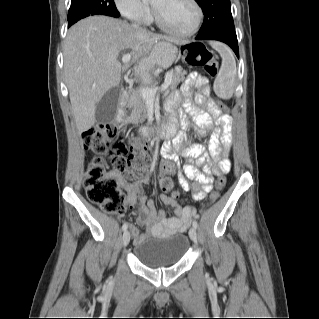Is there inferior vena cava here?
I'll list each match as a JSON object with an SVG mask.
<instances>
[{
  "label": "inferior vena cava",
  "instance_id": "602c4592",
  "mask_svg": "<svg viewBox=\"0 0 319 319\" xmlns=\"http://www.w3.org/2000/svg\"><path fill=\"white\" fill-rule=\"evenodd\" d=\"M132 26H133L135 29L144 30V29H142L138 24H133Z\"/></svg>",
  "mask_w": 319,
  "mask_h": 319
}]
</instances>
